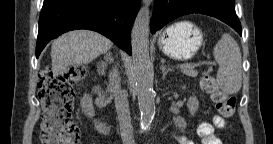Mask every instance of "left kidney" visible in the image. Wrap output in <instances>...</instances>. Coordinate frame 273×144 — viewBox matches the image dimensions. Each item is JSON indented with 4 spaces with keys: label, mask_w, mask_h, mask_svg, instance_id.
Returning a JSON list of instances; mask_svg holds the SVG:
<instances>
[{
    "label": "left kidney",
    "mask_w": 273,
    "mask_h": 144,
    "mask_svg": "<svg viewBox=\"0 0 273 144\" xmlns=\"http://www.w3.org/2000/svg\"><path fill=\"white\" fill-rule=\"evenodd\" d=\"M187 107L190 111V114L194 116L195 112L198 110L199 107V101L196 99V97H190L187 102ZM174 123L176 126L179 127L182 131L186 128L187 124L182 117H177L174 119Z\"/></svg>",
    "instance_id": "5707ae66"
}]
</instances>
